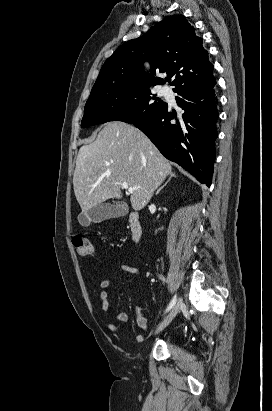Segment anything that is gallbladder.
Wrapping results in <instances>:
<instances>
[{"label":"gallbladder","mask_w":272,"mask_h":411,"mask_svg":"<svg viewBox=\"0 0 272 411\" xmlns=\"http://www.w3.org/2000/svg\"><path fill=\"white\" fill-rule=\"evenodd\" d=\"M127 213L128 207L124 204L101 203L80 214L78 221L81 226L87 227L90 223H101L111 218H119Z\"/></svg>","instance_id":"gallbladder-1"}]
</instances>
